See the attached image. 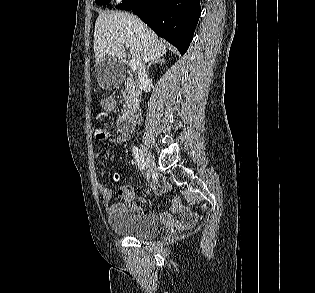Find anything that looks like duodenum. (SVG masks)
<instances>
[{"label":"duodenum","instance_id":"obj_1","mask_svg":"<svg viewBox=\"0 0 315 293\" xmlns=\"http://www.w3.org/2000/svg\"><path fill=\"white\" fill-rule=\"evenodd\" d=\"M136 122V114L127 112L123 114L118 122V128L123 133H129L133 130Z\"/></svg>","mask_w":315,"mask_h":293}]
</instances>
